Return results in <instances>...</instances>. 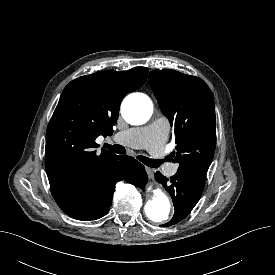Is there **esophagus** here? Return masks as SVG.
Listing matches in <instances>:
<instances>
[{
  "mask_svg": "<svg viewBox=\"0 0 275 275\" xmlns=\"http://www.w3.org/2000/svg\"><path fill=\"white\" fill-rule=\"evenodd\" d=\"M145 169H146V172H147L149 178H152L154 176L155 170L150 167H145Z\"/></svg>",
  "mask_w": 275,
  "mask_h": 275,
  "instance_id": "34e87169",
  "label": "esophagus"
}]
</instances>
